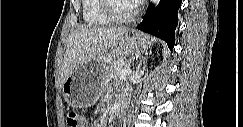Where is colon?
<instances>
[{
  "label": "colon",
  "instance_id": "colon-1",
  "mask_svg": "<svg viewBox=\"0 0 243 127\" xmlns=\"http://www.w3.org/2000/svg\"><path fill=\"white\" fill-rule=\"evenodd\" d=\"M68 127H84L82 118L76 112H70L66 118Z\"/></svg>",
  "mask_w": 243,
  "mask_h": 127
}]
</instances>
